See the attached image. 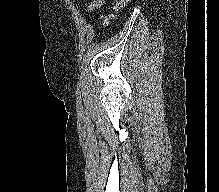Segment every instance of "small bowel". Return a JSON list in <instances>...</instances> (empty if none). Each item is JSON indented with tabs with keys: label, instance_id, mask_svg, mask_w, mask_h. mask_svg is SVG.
Masks as SVG:
<instances>
[{
	"label": "small bowel",
	"instance_id": "1",
	"mask_svg": "<svg viewBox=\"0 0 219 192\" xmlns=\"http://www.w3.org/2000/svg\"><path fill=\"white\" fill-rule=\"evenodd\" d=\"M103 1L102 0H93L89 5L88 9L89 10H95L99 8L102 5Z\"/></svg>",
	"mask_w": 219,
	"mask_h": 192
}]
</instances>
